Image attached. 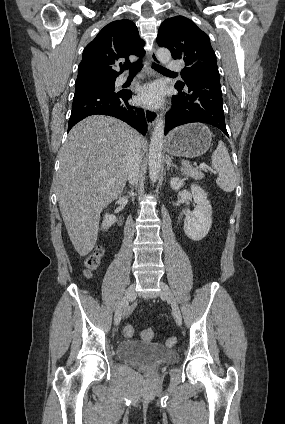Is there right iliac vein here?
Listing matches in <instances>:
<instances>
[{"mask_svg":"<svg viewBox=\"0 0 285 424\" xmlns=\"http://www.w3.org/2000/svg\"><path fill=\"white\" fill-rule=\"evenodd\" d=\"M135 296V285L131 284L127 290L125 291V294L120 301L114 315V323L115 325H118V323L121 320L122 315H128L127 306L129 301L133 300Z\"/></svg>","mask_w":285,"mask_h":424,"instance_id":"right-iliac-vein-1","label":"right iliac vein"}]
</instances>
